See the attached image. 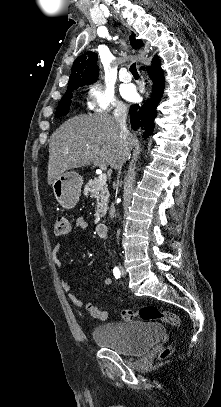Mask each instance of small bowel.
<instances>
[{
  "instance_id": "obj_1",
  "label": "small bowel",
  "mask_w": 221,
  "mask_h": 407,
  "mask_svg": "<svg viewBox=\"0 0 221 407\" xmlns=\"http://www.w3.org/2000/svg\"><path fill=\"white\" fill-rule=\"evenodd\" d=\"M74 227L79 230H84L87 228V222L84 218H77L74 222ZM61 250V244L57 242L53 249H52V258L54 262L58 265L61 266V260L59 258V253ZM104 285H110L111 284V279L109 277H106L103 280ZM61 288L64 292L67 293L69 300L76 306L81 307L83 306V301L75 294L71 292V284L68 281H62L61 282Z\"/></svg>"
}]
</instances>
